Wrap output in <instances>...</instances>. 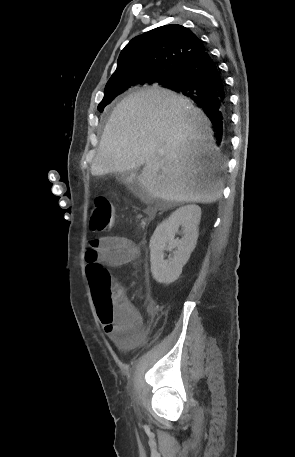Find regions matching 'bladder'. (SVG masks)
<instances>
[{"label": "bladder", "mask_w": 295, "mask_h": 457, "mask_svg": "<svg viewBox=\"0 0 295 457\" xmlns=\"http://www.w3.org/2000/svg\"><path fill=\"white\" fill-rule=\"evenodd\" d=\"M111 347H124V356H135L138 347V338H111Z\"/></svg>", "instance_id": "1"}]
</instances>
